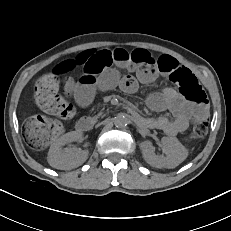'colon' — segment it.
<instances>
[{"label": "colon", "mask_w": 231, "mask_h": 231, "mask_svg": "<svg viewBox=\"0 0 231 231\" xmlns=\"http://www.w3.org/2000/svg\"><path fill=\"white\" fill-rule=\"evenodd\" d=\"M140 50H133L131 59L137 58ZM67 71L58 64L43 75L36 83L34 100L38 107L47 115H37L29 120L25 129V139L28 145L36 150L49 146L60 134L62 125L59 119H68L73 115V107L58 93L60 77ZM179 87L180 92L187 98L206 103V95L199 86L193 74L180 70L170 78ZM208 122L206 119L196 122L189 138L197 140L206 135Z\"/></svg>", "instance_id": "colon-1"}]
</instances>
